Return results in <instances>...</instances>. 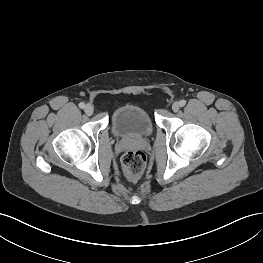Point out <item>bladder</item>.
<instances>
[{
    "label": "bladder",
    "instance_id": "1",
    "mask_svg": "<svg viewBox=\"0 0 263 263\" xmlns=\"http://www.w3.org/2000/svg\"><path fill=\"white\" fill-rule=\"evenodd\" d=\"M111 127L114 134L126 139H147L154 131L150 116L135 104H126L116 109Z\"/></svg>",
    "mask_w": 263,
    "mask_h": 263
}]
</instances>
